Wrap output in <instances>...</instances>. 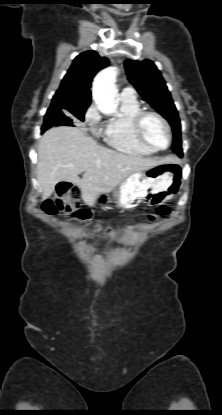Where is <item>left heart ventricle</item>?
<instances>
[{
  "label": "left heart ventricle",
  "instance_id": "obj_1",
  "mask_svg": "<svg viewBox=\"0 0 222 415\" xmlns=\"http://www.w3.org/2000/svg\"><path fill=\"white\" fill-rule=\"evenodd\" d=\"M145 137L158 147H165L168 142V134L163 123L154 116H148L143 125Z\"/></svg>",
  "mask_w": 222,
  "mask_h": 415
}]
</instances>
